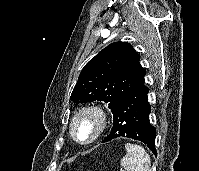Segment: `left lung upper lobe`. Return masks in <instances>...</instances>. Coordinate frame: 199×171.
<instances>
[{
    "label": "left lung upper lobe",
    "mask_w": 199,
    "mask_h": 171,
    "mask_svg": "<svg viewBox=\"0 0 199 171\" xmlns=\"http://www.w3.org/2000/svg\"><path fill=\"white\" fill-rule=\"evenodd\" d=\"M140 56L127 42H115L101 50L82 69L71 101H104L113 113L143 80L146 71Z\"/></svg>",
    "instance_id": "obj_1"
}]
</instances>
